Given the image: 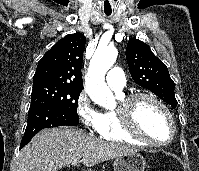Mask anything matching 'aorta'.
I'll return each mask as SVG.
<instances>
[{
    "instance_id": "aorta-1",
    "label": "aorta",
    "mask_w": 199,
    "mask_h": 171,
    "mask_svg": "<svg viewBox=\"0 0 199 171\" xmlns=\"http://www.w3.org/2000/svg\"><path fill=\"white\" fill-rule=\"evenodd\" d=\"M114 47H98L88 68L86 90L90 98L104 108H112L115 99L105 82V75L117 58Z\"/></svg>"
}]
</instances>
